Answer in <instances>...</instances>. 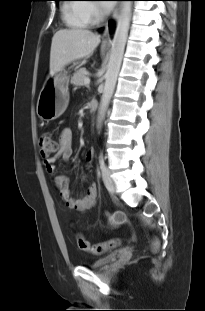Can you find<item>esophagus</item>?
Wrapping results in <instances>:
<instances>
[{
  "instance_id": "1",
  "label": "esophagus",
  "mask_w": 205,
  "mask_h": 311,
  "mask_svg": "<svg viewBox=\"0 0 205 311\" xmlns=\"http://www.w3.org/2000/svg\"><path fill=\"white\" fill-rule=\"evenodd\" d=\"M120 11H121V6L117 5L116 8L113 11V14H112V17H111L112 21H116L119 18ZM102 43H103L104 46H107V45L111 44V38H110L108 26H106V31H105V34H104V40H103Z\"/></svg>"
}]
</instances>
